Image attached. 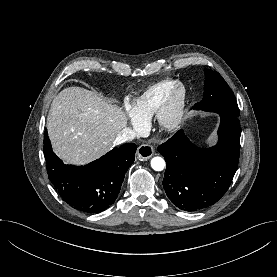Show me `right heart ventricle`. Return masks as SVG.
<instances>
[{
	"instance_id": "obj_1",
	"label": "right heart ventricle",
	"mask_w": 277,
	"mask_h": 277,
	"mask_svg": "<svg viewBox=\"0 0 277 277\" xmlns=\"http://www.w3.org/2000/svg\"><path fill=\"white\" fill-rule=\"evenodd\" d=\"M175 83V80L167 79L147 88L133 101L132 110L134 113L143 120L151 118Z\"/></svg>"
}]
</instances>
